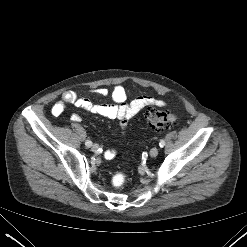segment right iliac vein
<instances>
[{"instance_id":"63e3f726","label":"right iliac vein","mask_w":247,"mask_h":247,"mask_svg":"<svg viewBox=\"0 0 247 247\" xmlns=\"http://www.w3.org/2000/svg\"><path fill=\"white\" fill-rule=\"evenodd\" d=\"M98 148H99V146L97 144H93L92 147H91V150L93 152H97Z\"/></svg>"}]
</instances>
